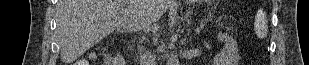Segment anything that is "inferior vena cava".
Wrapping results in <instances>:
<instances>
[{
    "label": "inferior vena cava",
    "mask_w": 309,
    "mask_h": 65,
    "mask_svg": "<svg viewBox=\"0 0 309 65\" xmlns=\"http://www.w3.org/2000/svg\"><path fill=\"white\" fill-rule=\"evenodd\" d=\"M140 65H155V55L151 51L143 50L140 56Z\"/></svg>",
    "instance_id": "602c4592"
}]
</instances>
